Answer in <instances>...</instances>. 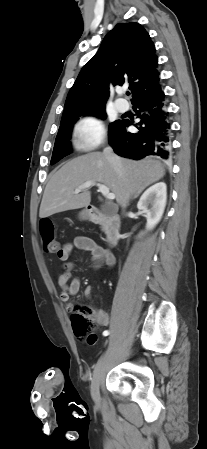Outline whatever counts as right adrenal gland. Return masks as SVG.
<instances>
[{"instance_id":"obj_1","label":"right adrenal gland","mask_w":207,"mask_h":449,"mask_svg":"<svg viewBox=\"0 0 207 449\" xmlns=\"http://www.w3.org/2000/svg\"><path fill=\"white\" fill-rule=\"evenodd\" d=\"M139 196V193L135 194V196L133 197L134 199L137 198Z\"/></svg>"}]
</instances>
